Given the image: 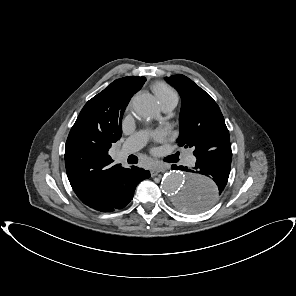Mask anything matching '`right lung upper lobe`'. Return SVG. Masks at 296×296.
Here are the masks:
<instances>
[{"instance_id": "right-lung-upper-lobe-1", "label": "right lung upper lobe", "mask_w": 296, "mask_h": 296, "mask_svg": "<svg viewBox=\"0 0 296 296\" xmlns=\"http://www.w3.org/2000/svg\"><path fill=\"white\" fill-rule=\"evenodd\" d=\"M145 77L112 82L81 110L66 142L65 166L72 189L87 206L99 208L113 192L127 168L112 164V143L122 135V117Z\"/></svg>"}]
</instances>
